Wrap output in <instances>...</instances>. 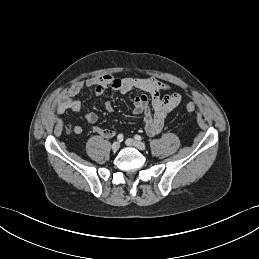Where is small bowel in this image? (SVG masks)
Returning a JSON list of instances; mask_svg holds the SVG:
<instances>
[{"mask_svg":"<svg viewBox=\"0 0 259 259\" xmlns=\"http://www.w3.org/2000/svg\"><path fill=\"white\" fill-rule=\"evenodd\" d=\"M93 88L97 95L103 94L106 90L112 89L119 93H128L133 89L143 92L134 99L133 113L143 115L145 131L150 136H155L161 132L164 127L167 116L181 102V95L178 92H171L162 95V92L169 91L170 86L154 78H115L111 74H103L86 80H77L67 89H65L60 99L54 106L57 113L65 111L79 112L82 104L76 98L83 90ZM105 109L108 112L113 111L111 102L105 103ZM85 120L89 124H95L98 121V115L95 112L85 114ZM54 118L48 116L47 125L51 126ZM93 131L103 138H110L115 135V130L93 126ZM76 134H81L83 128L80 125L74 127Z\"/></svg>","mask_w":259,"mask_h":259,"instance_id":"obj_1","label":"small bowel"}]
</instances>
